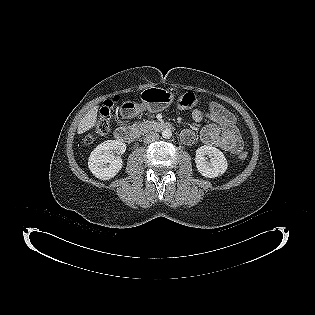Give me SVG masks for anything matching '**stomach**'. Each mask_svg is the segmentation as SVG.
<instances>
[{
  "label": "stomach",
  "mask_w": 315,
  "mask_h": 315,
  "mask_svg": "<svg viewBox=\"0 0 315 315\" xmlns=\"http://www.w3.org/2000/svg\"><path fill=\"white\" fill-rule=\"evenodd\" d=\"M142 103L125 102L119 108V115L123 119L136 118L141 109H147L150 112L162 111L174 100V94L161 88L146 89L141 94Z\"/></svg>",
  "instance_id": "stomach-1"
}]
</instances>
